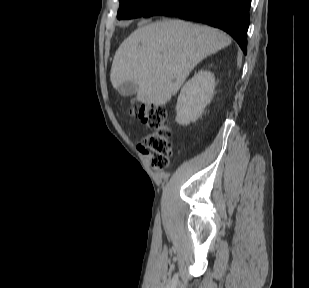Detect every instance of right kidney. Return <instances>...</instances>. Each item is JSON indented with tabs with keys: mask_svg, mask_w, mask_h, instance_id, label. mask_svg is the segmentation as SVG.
<instances>
[{
	"mask_svg": "<svg viewBox=\"0 0 309 288\" xmlns=\"http://www.w3.org/2000/svg\"><path fill=\"white\" fill-rule=\"evenodd\" d=\"M214 89L215 77L210 71H200L186 82L177 100V123L188 125L196 121L210 103Z\"/></svg>",
	"mask_w": 309,
	"mask_h": 288,
	"instance_id": "right-kidney-1",
	"label": "right kidney"
}]
</instances>
